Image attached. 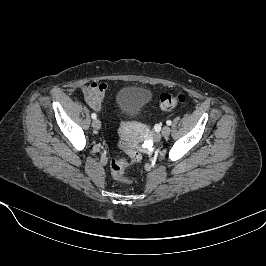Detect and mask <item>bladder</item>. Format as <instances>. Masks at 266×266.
<instances>
[{
    "instance_id": "bladder-1",
    "label": "bladder",
    "mask_w": 266,
    "mask_h": 266,
    "mask_svg": "<svg viewBox=\"0 0 266 266\" xmlns=\"http://www.w3.org/2000/svg\"><path fill=\"white\" fill-rule=\"evenodd\" d=\"M150 100V93L144 88L127 86L117 93V104L121 113L135 115L142 111Z\"/></svg>"
}]
</instances>
